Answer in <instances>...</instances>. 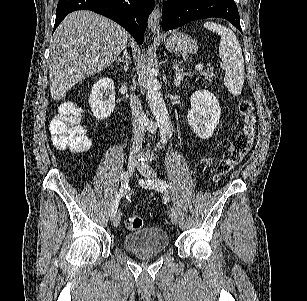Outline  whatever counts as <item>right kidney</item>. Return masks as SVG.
<instances>
[{"label":"right kidney","mask_w":307,"mask_h":301,"mask_svg":"<svg viewBox=\"0 0 307 301\" xmlns=\"http://www.w3.org/2000/svg\"><path fill=\"white\" fill-rule=\"evenodd\" d=\"M89 104L93 116L98 120L107 118L115 108V84L109 76L99 78L91 88Z\"/></svg>","instance_id":"ca27d5eb"}]
</instances>
